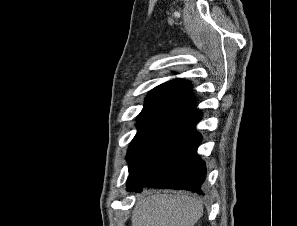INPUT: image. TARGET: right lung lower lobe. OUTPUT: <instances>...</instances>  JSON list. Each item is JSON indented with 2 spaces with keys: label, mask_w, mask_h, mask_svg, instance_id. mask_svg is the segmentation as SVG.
Masks as SVG:
<instances>
[{
  "label": "right lung lower lobe",
  "mask_w": 297,
  "mask_h": 226,
  "mask_svg": "<svg viewBox=\"0 0 297 226\" xmlns=\"http://www.w3.org/2000/svg\"><path fill=\"white\" fill-rule=\"evenodd\" d=\"M201 113L190 107L167 121L130 172L127 191L144 187L188 190L201 195L206 178L205 163L197 155L202 137L195 125Z\"/></svg>",
  "instance_id": "98d812e1"
}]
</instances>
